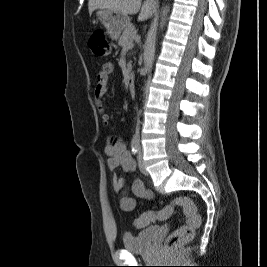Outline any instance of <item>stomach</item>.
Masks as SVG:
<instances>
[{"label":"stomach","mask_w":267,"mask_h":267,"mask_svg":"<svg viewBox=\"0 0 267 267\" xmlns=\"http://www.w3.org/2000/svg\"><path fill=\"white\" fill-rule=\"evenodd\" d=\"M96 15L113 40H117L121 32L130 24L128 16L108 9H99Z\"/></svg>","instance_id":"1"}]
</instances>
